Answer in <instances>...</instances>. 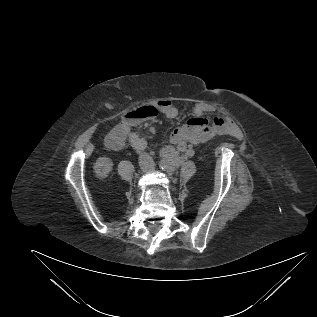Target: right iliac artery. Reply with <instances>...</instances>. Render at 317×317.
<instances>
[{
	"instance_id": "right-iliac-artery-1",
	"label": "right iliac artery",
	"mask_w": 317,
	"mask_h": 317,
	"mask_svg": "<svg viewBox=\"0 0 317 317\" xmlns=\"http://www.w3.org/2000/svg\"><path fill=\"white\" fill-rule=\"evenodd\" d=\"M159 166H160V168H162V169H163L164 167H166V165H165L164 163H160Z\"/></svg>"
}]
</instances>
